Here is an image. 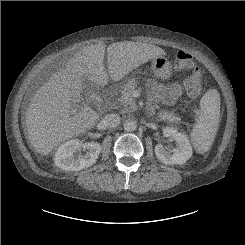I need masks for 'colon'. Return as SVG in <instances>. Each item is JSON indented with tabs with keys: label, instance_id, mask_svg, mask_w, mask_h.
<instances>
[{
	"label": "colon",
	"instance_id": "colon-1",
	"mask_svg": "<svg viewBox=\"0 0 245 245\" xmlns=\"http://www.w3.org/2000/svg\"><path fill=\"white\" fill-rule=\"evenodd\" d=\"M175 66L188 73L184 80L187 95L191 98L198 97L202 89L203 75L196 66L193 56L187 50H179L175 56Z\"/></svg>",
	"mask_w": 245,
	"mask_h": 245
}]
</instances>
